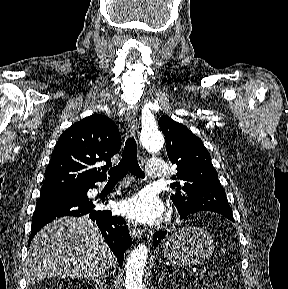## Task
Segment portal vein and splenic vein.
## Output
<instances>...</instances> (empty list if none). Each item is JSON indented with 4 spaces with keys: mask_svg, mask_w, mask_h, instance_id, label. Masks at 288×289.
<instances>
[{
    "mask_svg": "<svg viewBox=\"0 0 288 289\" xmlns=\"http://www.w3.org/2000/svg\"><path fill=\"white\" fill-rule=\"evenodd\" d=\"M206 271H207L206 267H202L201 270H200V272H201L202 274H205Z\"/></svg>",
    "mask_w": 288,
    "mask_h": 289,
    "instance_id": "1",
    "label": "portal vein and splenic vein"
}]
</instances>
